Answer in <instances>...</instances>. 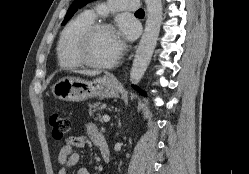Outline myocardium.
Here are the masks:
<instances>
[{
	"label": "myocardium",
	"mask_w": 249,
	"mask_h": 174,
	"mask_svg": "<svg viewBox=\"0 0 249 174\" xmlns=\"http://www.w3.org/2000/svg\"><path fill=\"white\" fill-rule=\"evenodd\" d=\"M100 31H114V27L108 23H93L90 25L81 35L77 47L76 54L81 61L87 67L93 69H108L115 66L120 58L122 46L119 44L118 50L112 60L105 63H97L92 61L88 56V48L92 37Z\"/></svg>",
	"instance_id": "f54148a6"
}]
</instances>
